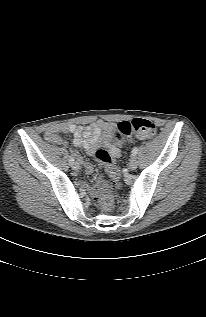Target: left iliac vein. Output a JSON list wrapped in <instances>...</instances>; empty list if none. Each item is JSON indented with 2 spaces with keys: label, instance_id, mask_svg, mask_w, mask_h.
Wrapping results in <instances>:
<instances>
[{
  "label": "left iliac vein",
  "instance_id": "4c4485c4",
  "mask_svg": "<svg viewBox=\"0 0 206 317\" xmlns=\"http://www.w3.org/2000/svg\"><path fill=\"white\" fill-rule=\"evenodd\" d=\"M138 166L137 158L133 156L128 164L129 170H135Z\"/></svg>",
  "mask_w": 206,
  "mask_h": 317
}]
</instances>
